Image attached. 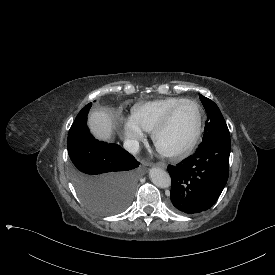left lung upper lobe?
Segmentation results:
<instances>
[{
  "instance_id": "1",
  "label": "left lung upper lobe",
  "mask_w": 275,
  "mask_h": 275,
  "mask_svg": "<svg viewBox=\"0 0 275 275\" xmlns=\"http://www.w3.org/2000/svg\"><path fill=\"white\" fill-rule=\"evenodd\" d=\"M199 97L207 112V122L202 142L219 136L230 135L226 122L217 105L212 100L202 95H199Z\"/></svg>"
}]
</instances>
